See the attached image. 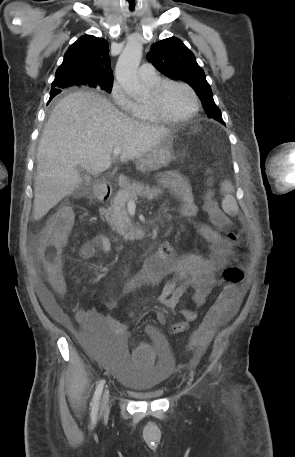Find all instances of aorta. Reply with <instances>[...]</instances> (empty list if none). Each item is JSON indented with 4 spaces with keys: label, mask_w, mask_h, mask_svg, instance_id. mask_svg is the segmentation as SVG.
<instances>
[{
    "label": "aorta",
    "mask_w": 295,
    "mask_h": 457,
    "mask_svg": "<svg viewBox=\"0 0 295 457\" xmlns=\"http://www.w3.org/2000/svg\"><path fill=\"white\" fill-rule=\"evenodd\" d=\"M143 46L137 41H130L120 54L116 68L115 76L123 90L134 98H139L144 94L137 69L142 58Z\"/></svg>",
    "instance_id": "762f6f07"
}]
</instances>
